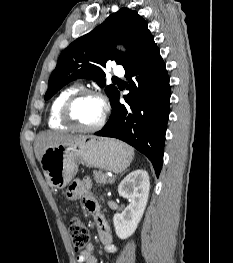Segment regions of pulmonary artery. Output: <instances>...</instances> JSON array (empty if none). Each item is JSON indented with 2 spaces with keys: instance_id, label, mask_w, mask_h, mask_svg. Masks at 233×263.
I'll return each instance as SVG.
<instances>
[{
  "instance_id": "1",
  "label": "pulmonary artery",
  "mask_w": 233,
  "mask_h": 263,
  "mask_svg": "<svg viewBox=\"0 0 233 263\" xmlns=\"http://www.w3.org/2000/svg\"><path fill=\"white\" fill-rule=\"evenodd\" d=\"M113 73L117 76H123L125 71H124V68L120 65H116L114 67V70H113Z\"/></svg>"
}]
</instances>
